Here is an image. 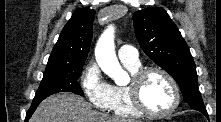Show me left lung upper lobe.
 Segmentation results:
<instances>
[{
	"label": "left lung upper lobe",
	"instance_id": "left-lung-upper-lobe-1",
	"mask_svg": "<svg viewBox=\"0 0 221 122\" xmlns=\"http://www.w3.org/2000/svg\"><path fill=\"white\" fill-rule=\"evenodd\" d=\"M133 21L146 55L176 80L187 104L194 109L204 108L194 60L167 12L159 7L147 8L136 11Z\"/></svg>",
	"mask_w": 221,
	"mask_h": 122
}]
</instances>
